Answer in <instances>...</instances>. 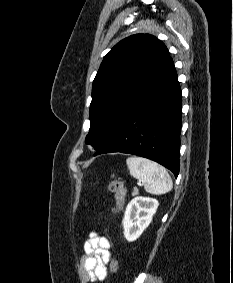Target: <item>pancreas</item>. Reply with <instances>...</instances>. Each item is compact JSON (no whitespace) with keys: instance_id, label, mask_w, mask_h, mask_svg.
I'll use <instances>...</instances> for the list:
<instances>
[{"instance_id":"pancreas-1","label":"pancreas","mask_w":233,"mask_h":283,"mask_svg":"<svg viewBox=\"0 0 233 283\" xmlns=\"http://www.w3.org/2000/svg\"><path fill=\"white\" fill-rule=\"evenodd\" d=\"M138 194V190H137V188H134V192L132 193V195L134 196V195H137Z\"/></svg>"}]
</instances>
